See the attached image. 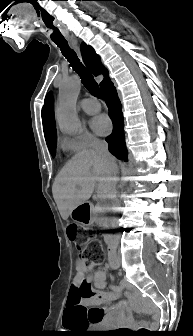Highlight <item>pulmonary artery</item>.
Listing matches in <instances>:
<instances>
[{
	"mask_svg": "<svg viewBox=\"0 0 193 336\" xmlns=\"http://www.w3.org/2000/svg\"><path fill=\"white\" fill-rule=\"evenodd\" d=\"M82 110L88 114H95L100 111V103L93 98L83 99L80 103Z\"/></svg>",
	"mask_w": 193,
	"mask_h": 336,
	"instance_id": "1",
	"label": "pulmonary artery"
}]
</instances>
